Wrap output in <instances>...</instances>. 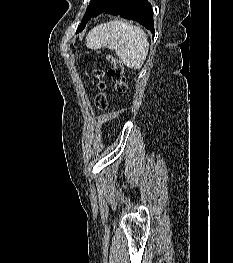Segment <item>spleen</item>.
<instances>
[{
    "instance_id": "obj_1",
    "label": "spleen",
    "mask_w": 233,
    "mask_h": 263,
    "mask_svg": "<svg viewBox=\"0 0 233 263\" xmlns=\"http://www.w3.org/2000/svg\"><path fill=\"white\" fill-rule=\"evenodd\" d=\"M91 49L107 47L130 69H140L146 60L149 42L139 27L123 20H114L94 27L86 37Z\"/></svg>"
}]
</instances>
